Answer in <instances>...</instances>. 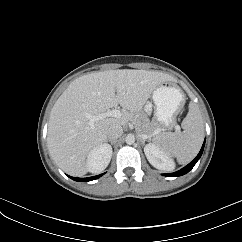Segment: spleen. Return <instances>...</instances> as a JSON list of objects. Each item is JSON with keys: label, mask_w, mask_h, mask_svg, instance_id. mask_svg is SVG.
Masks as SVG:
<instances>
[{"label": "spleen", "mask_w": 242, "mask_h": 242, "mask_svg": "<svg viewBox=\"0 0 242 242\" xmlns=\"http://www.w3.org/2000/svg\"><path fill=\"white\" fill-rule=\"evenodd\" d=\"M182 127V132H165L156 136L154 144L168 156L175 157L179 164H186L197 155L204 137L201 112L193 102L189 104V111Z\"/></svg>", "instance_id": "3e777b00"}]
</instances>
